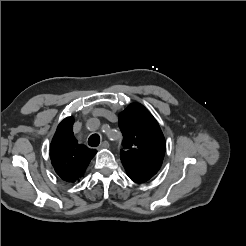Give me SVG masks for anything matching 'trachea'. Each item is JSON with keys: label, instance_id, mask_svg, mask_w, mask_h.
<instances>
[{"label": "trachea", "instance_id": "obj_1", "mask_svg": "<svg viewBox=\"0 0 246 246\" xmlns=\"http://www.w3.org/2000/svg\"><path fill=\"white\" fill-rule=\"evenodd\" d=\"M100 143V136L98 134H92L88 139L89 146L96 147Z\"/></svg>", "mask_w": 246, "mask_h": 246}]
</instances>
